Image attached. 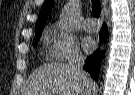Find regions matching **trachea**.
<instances>
[{
	"label": "trachea",
	"instance_id": "1",
	"mask_svg": "<svg viewBox=\"0 0 135 95\" xmlns=\"http://www.w3.org/2000/svg\"><path fill=\"white\" fill-rule=\"evenodd\" d=\"M92 12L95 18H98L100 16L101 12L100 0H92Z\"/></svg>",
	"mask_w": 135,
	"mask_h": 95
}]
</instances>
